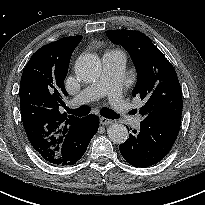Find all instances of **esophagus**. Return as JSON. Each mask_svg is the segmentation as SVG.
<instances>
[{"instance_id": "esophagus-1", "label": "esophagus", "mask_w": 205, "mask_h": 205, "mask_svg": "<svg viewBox=\"0 0 205 205\" xmlns=\"http://www.w3.org/2000/svg\"><path fill=\"white\" fill-rule=\"evenodd\" d=\"M113 121L108 119V118H105V117H100V124L102 125H108V124H111Z\"/></svg>"}]
</instances>
